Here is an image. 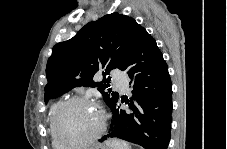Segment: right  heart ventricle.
Wrapping results in <instances>:
<instances>
[{
	"label": "right heart ventricle",
	"mask_w": 227,
	"mask_h": 149,
	"mask_svg": "<svg viewBox=\"0 0 227 149\" xmlns=\"http://www.w3.org/2000/svg\"><path fill=\"white\" fill-rule=\"evenodd\" d=\"M60 104V102L54 103L49 110V115H48V124H49V131H50V136H51V142H52V146L55 149H61V145L57 142L55 135H54V131H53V116L54 113L58 107V105Z\"/></svg>",
	"instance_id": "obj_1"
}]
</instances>
